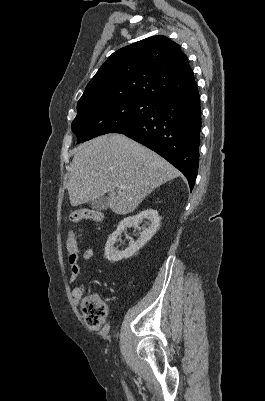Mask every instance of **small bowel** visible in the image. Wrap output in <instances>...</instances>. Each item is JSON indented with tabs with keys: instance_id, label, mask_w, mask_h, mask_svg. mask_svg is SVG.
<instances>
[{
	"instance_id": "c3829d8e",
	"label": "small bowel",
	"mask_w": 265,
	"mask_h": 401,
	"mask_svg": "<svg viewBox=\"0 0 265 401\" xmlns=\"http://www.w3.org/2000/svg\"><path fill=\"white\" fill-rule=\"evenodd\" d=\"M94 254H95V251L91 247L86 248L84 250L77 249L75 254H68L67 263L70 267V277H69L70 283H73L79 277V275L81 273V267L78 263L79 257H82V259L85 262H87L93 258ZM85 289H86L85 283H81L72 289L71 294H72L73 300L76 304H78L79 301L81 300V298L85 292Z\"/></svg>"
}]
</instances>
